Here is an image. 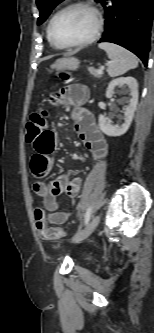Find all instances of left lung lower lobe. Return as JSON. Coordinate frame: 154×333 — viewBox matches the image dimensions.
I'll return each instance as SVG.
<instances>
[{
  "mask_svg": "<svg viewBox=\"0 0 154 333\" xmlns=\"http://www.w3.org/2000/svg\"><path fill=\"white\" fill-rule=\"evenodd\" d=\"M105 31L99 42L118 44L147 66L151 44L154 0H102Z\"/></svg>",
  "mask_w": 154,
  "mask_h": 333,
  "instance_id": "1",
  "label": "left lung lower lobe"
}]
</instances>
